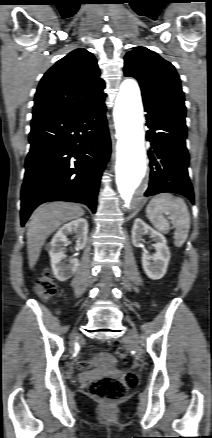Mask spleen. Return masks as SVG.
I'll use <instances>...</instances> for the list:
<instances>
[{
  "label": "spleen",
  "instance_id": "obj_1",
  "mask_svg": "<svg viewBox=\"0 0 212 438\" xmlns=\"http://www.w3.org/2000/svg\"><path fill=\"white\" fill-rule=\"evenodd\" d=\"M146 214L153 226L162 233H167L170 229L164 216L167 215L175 227L174 245L181 247L185 243L190 229V214L182 198L169 193L156 195L147 205Z\"/></svg>",
  "mask_w": 212,
  "mask_h": 438
}]
</instances>
